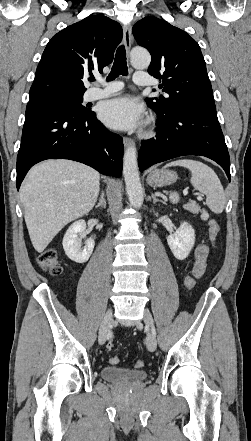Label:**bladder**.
<instances>
[{
	"label": "bladder",
	"mask_w": 251,
	"mask_h": 441,
	"mask_svg": "<svg viewBox=\"0 0 251 441\" xmlns=\"http://www.w3.org/2000/svg\"><path fill=\"white\" fill-rule=\"evenodd\" d=\"M101 377L112 383H139L147 379L145 370H131L120 367H104L101 369Z\"/></svg>",
	"instance_id": "obj_1"
}]
</instances>
